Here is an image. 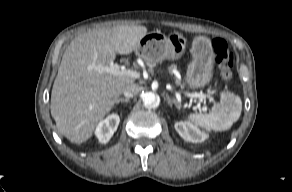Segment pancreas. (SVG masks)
Instances as JSON below:
<instances>
[{"label": "pancreas", "mask_w": 292, "mask_h": 192, "mask_svg": "<svg viewBox=\"0 0 292 192\" xmlns=\"http://www.w3.org/2000/svg\"><path fill=\"white\" fill-rule=\"evenodd\" d=\"M177 66L176 65H171L168 67L169 73L173 74V70H176ZM177 85H180L182 88L184 87V84L181 83V81L179 79L175 80Z\"/></svg>", "instance_id": "pancreas-1"}]
</instances>
